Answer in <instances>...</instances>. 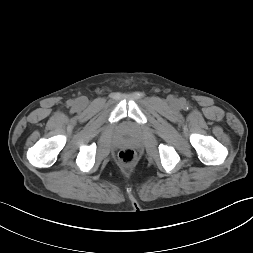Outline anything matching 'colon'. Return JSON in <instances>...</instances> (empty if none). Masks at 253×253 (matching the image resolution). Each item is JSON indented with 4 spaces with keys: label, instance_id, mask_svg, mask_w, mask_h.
Returning <instances> with one entry per match:
<instances>
[{
    "label": "colon",
    "instance_id": "1",
    "mask_svg": "<svg viewBox=\"0 0 253 253\" xmlns=\"http://www.w3.org/2000/svg\"><path fill=\"white\" fill-rule=\"evenodd\" d=\"M118 158L122 165L130 166L136 160V152L132 148H124L119 152Z\"/></svg>",
    "mask_w": 253,
    "mask_h": 253
}]
</instances>
